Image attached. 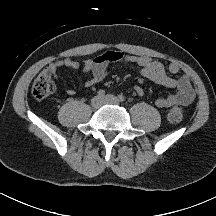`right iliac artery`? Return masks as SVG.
Returning <instances> with one entry per match:
<instances>
[{
	"mask_svg": "<svg viewBox=\"0 0 216 216\" xmlns=\"http://www.w3.org/2000/svg\"><path fill=\"white\" fill-rule=\"evenodd\" d=\"M97 95H98L99 97H103V96L105 95V91H104V90H99V91L97 92Z\"/></svg>",
	"mask_w": 216,
	"mask_h": 216,
	"instance_id": "right-iliac-artery-1",
	"label": "right iliac artery"
}]
</instances>
